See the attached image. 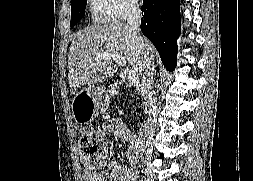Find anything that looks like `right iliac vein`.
I'll return each mask as SVG.
<instances>
[{
	"mask_svg": "<svg viewBox=\"0 0 253 181\" xmlns=\"http://www.w3.org/2000/svg\"><path fill=\"white\" fill-rule=\"evenodd\" d=\"M145 181H154L151 172H147V174L145 175Z\"/></svg>",
	"mask_w": 253,
	"mask_h": 181,
	"instance_id": "63e3f726",
	"label": "right iliac vein"
}]
</instances>
